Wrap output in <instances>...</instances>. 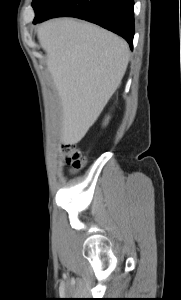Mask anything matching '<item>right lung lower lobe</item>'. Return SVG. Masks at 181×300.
Masks as SVG:
<instances>
[{"mask_svg":"<svg viewBox=\"0 0 181 300\" xmlns=\"http://www.w3.org/2000/svg\"><path fill=\"white\" fill-rule=\"evenodd\" d=\"M133 6V0H58L43 15L35 17L33 23L62 16L84 19L122 36L132 49Z\"/></svg>","mask_w":181,"mask_h":300,"instance_id":"1","label":"right lung lower lobe"}]
</instances>
